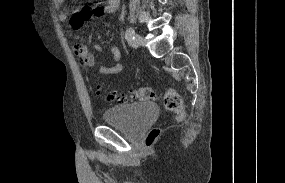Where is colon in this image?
<instances>
[{
  "instance_id": "1",
  "label": "colon",
  "mask_w": 285,
  "mask_h": 183,
  "mask_svg": "<svg viewBox=\"0 0 285 183\" xmlns=\"http://www.w3.org/2000/svg\"><path fill=\"white\" fill-rule=\"evenodd\" d=\"M155 97V92L150 87H140L133 90H130L126 94L117 95L109 94L108 98L110 100H119V101H148L152 100ZM164 106L168 111L176 113L177 119L182 121L185 118V110L182 105L181 95L172 88H169L164 95ZM159 135L158 129H152L145 138V144L151 146Z\"/></svg>"
}]
</instances>
